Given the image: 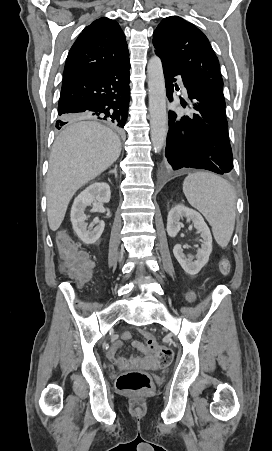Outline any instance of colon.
<instances>
[{
  "instance_id": "colon-1",
  "label": "colon",
  "mask_w": 272,
  "mask_h": 451,
  "mask_svg": "<svg viewBox=\"0 0 272 451\" xmlns=\"http://www.w3.org/2000/svg\"><path fill=\"white\" fill-rule=\"evenodd\" d=\"M56 241L61 249L59 258L60 260H65V262L59 263V270L67 271V276L81 286L85 278H90L91 276V264L87 262V251H82L81 247H76V242L71 240V236L65 233L58 234ZM219 269L223 274H227L230 271V265L225 260H221ZM145 349L154 354L155 367H164L172 361L173 352L172 350H167L165 345H157L156 342H146ZM111 367H128V358H111ZM150 386L151 380L148 374L135 369H128V371L123 372L116 381L117 389L125 392L137 393L149 389Z\"/></svg>"
}]
</instances>
